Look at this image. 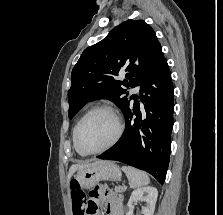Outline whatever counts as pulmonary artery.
Listing matches in <instances>:
<instances>
[{"label": "pulmonary artery", "mask_w": 223, "mask_h": 215, "mask_svg": "<svg viewBox=\"0 0 223 215\" xmlns=\"http://www.w3.org/2000/svg\"><path fill=\"white\" fill-rule=\"evenodd\" d=\"M143 86H144L143 82L137 83L136 88L132 90V93L134 94V98H143V93H141Z\"/></svg>", "instance_id": "pulmonary-artery-1"}]
</instances>
